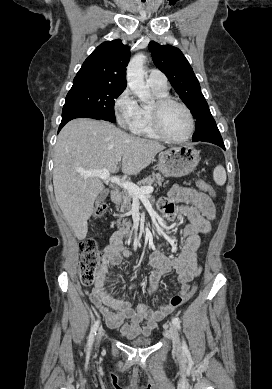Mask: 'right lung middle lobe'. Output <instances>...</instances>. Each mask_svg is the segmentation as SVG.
<instances>
[{
	"mask_svg": "<svg viewBox=\"0 0 272 389\" xmlns=\"http://www.w3.org/2000/svg\"><path fill=\"white\" fill-rule=\"evenodd\" d=\"M125 88L110 85L79 83L73 84L63 106V112L82 111L115 123V99Z\"/></svg>",
	"mask_w": 272,
	"mask_h": 389,
	"instance_id": "right-lung-middle-lobe-1",
	"label": "right lung middle lobe"
}]
</instances>
